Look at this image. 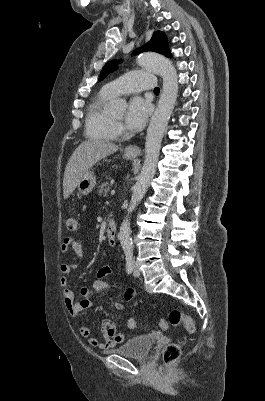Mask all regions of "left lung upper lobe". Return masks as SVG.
I'll use <instances>...</instances> for the list:
<instances>
[{
    "label": "left lung upper lobe",
    "instance_id": "1",
    "mask_svg": "<svg viewBox=\"0 0 265 401\" xmlns=\"http://www.w3.org/2000/svg\"><path fill=\"white\" fill-rule=\"evenodd\" d=\"M144 51H153L171 57L167 38L165 34L160 31L154 32L151 40L141 48L136 49L133 54L136 55ZM118 63H120V60H112L108 62L100 73L99 81L103 80L109 73L116 70Z\"/></svg>",
    "mask_w": 265,
    "mask_h": 401
}]
</instances>
